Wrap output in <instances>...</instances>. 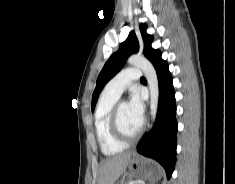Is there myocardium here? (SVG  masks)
Instances as JSON below:
<instances>
[{
    "label": "myocardium",
    "instance_id": "f54148a6",
    "mask_svg": "<svg viewBox=\"0 0 235 184\" xmlns=\"http://www.w3.org/2000/svg\"><path fill=\"white\" fill-rule=\"evenodd\" d=\"M123 102H117L112 111H111V116H110V127L112 130L113 135L119 139L121 142L124 143H134L137 142L143 135L144 129H145V121L142 122L141 128L138 131V133L134 136H128L126 135L121 126H120V122H119V108L120 105Z\"/></svg>",
    "mask_w": 235,
    "mask_h": 184
}]
</instances>
